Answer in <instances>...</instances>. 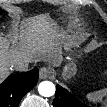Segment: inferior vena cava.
<instances>
[{
    "label": "inferior vena cava",
    "mask_w": 107,
    "mask_h": 107,
    "mask_svg": "<svg viewBox=\"0 0 107 107\" xmlns=\"http://www.w3.org/2000/svg\"><path fill=\"white\" fill-rule=\"evenodd\" d=\"M33 62L30 57L16 58L12 61L14 68L20 71H27L29 69V64Z\"/></svg>",
    "instance_id": "obj_1"
}]
</instances>
